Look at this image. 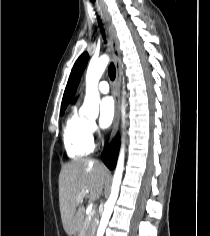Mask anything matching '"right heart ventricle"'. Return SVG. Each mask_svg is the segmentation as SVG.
<instances>
[{
  "label": "right heart ventricle",
  "instance_id": "e07e8e85",
  "mask_svg": "<svg viewBox=\"0 0 210 236\" xmlns=\"http://www.w3.org/2000/svg\"><path fill=\"white\" fill-rule=\"evenodd\" d=\"M89 121L78 111V105L72 106L62 130V140L68 157L72 159L87 156L94 150L89 131Z\"/></svg>",
  "mask_w": 210,
  "mask_h": 236
}]
</instances>
